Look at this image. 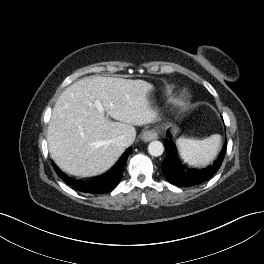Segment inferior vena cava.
Listing matches in <instances>:
<instances>
[{"mask_svg":"<svg viewBox=\"0 0 264 264\" xmlns=\"http://www.w3.org/2000/svg\"><path fill=\"white\" fill-rule=\"evenodd\" d=\"M116 142L121 145V146H128V144L130 143L129 140L124 136V135H121V136H118L116 138Z\"/></svg>","mask_w":264,"mask_h":264,"instance_id":"obj_1","label":"inferior vena cava"}]
</instances>
